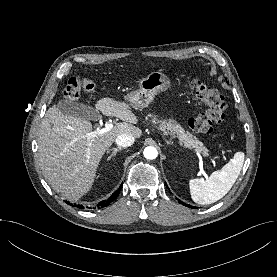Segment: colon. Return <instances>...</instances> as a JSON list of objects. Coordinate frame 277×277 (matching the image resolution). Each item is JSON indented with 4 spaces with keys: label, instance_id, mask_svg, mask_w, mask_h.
<instances>
[{
    "label": "colon",
    "instance_id": "obj_1",
    "mask_svg": "<svg viewBox=\"0 0 277 277\" xmlns=\"http://www.w3.org/2000/svg\"><path fill=\"white\" fill-rule=\"evenodd\" d=\"M190 87L196 97L205 105V110L189 120V127L196 133L209 134L215 124H219L225 119L226 101L217 89L202 80L193 79ZM82 91L94 93L96 84L86 78L72 77L65 86L64 97L68 101L75 102L79 99Z\"/></svg>",
    "mask_w": 277,
    "mask_h": 277
}]
</instances>
